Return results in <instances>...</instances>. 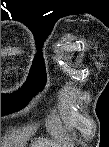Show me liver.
<instances>
[{
  "label": "liver",
  "mask_w": 109,
  "mask_h": 147,
  "mask_svg": "<svg viewBox=\"0 0 109 147\" xmlns=\"http://www.w3.org/2000/svg\"><path fill=\"white\" fill-rule=\"evenodd\" d=\"M33 147H69V146H67V144L61 141L57 143H53L48 140L38 139V141L35 142Z\"/></svg>",
  "instance_id": "1"
}]
</instances>
